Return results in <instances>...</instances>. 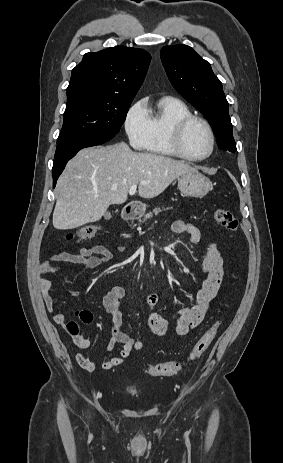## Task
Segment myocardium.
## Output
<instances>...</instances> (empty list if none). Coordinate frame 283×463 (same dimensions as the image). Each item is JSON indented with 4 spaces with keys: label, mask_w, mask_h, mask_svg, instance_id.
I'll list each match as a JSON object with an SVG mask.
<instances>
[{
    "label": "myocardium",
    "mask_w": 283,
    "mask_h": 463,
    "mask_svg": "<svg viewBox=\"0 0 283 463\" xmlns=\"http://www.w3.org/2000/svg\"><path fill=\"white\" fill-rule=\"evenodd\" d=\"M194 122L201 123L207 130L210 137V150L201 157H193L188 155L183 148V137L186 129ZM216 137L211 124L203 117L197 115L187 116L178 121L172 129L171 133V147L175 155L188 162H202L209 159L215 150Z\"/></svg>",
    "instance_id": "1"
}]
</instances>
